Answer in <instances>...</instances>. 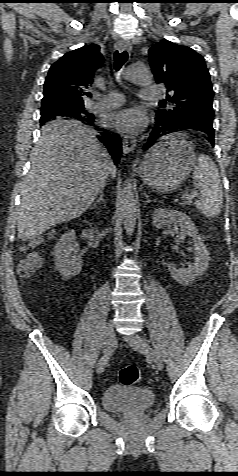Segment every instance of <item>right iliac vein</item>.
Wrapping results in <instances>:
<instances>
[{
	"mask_svg": "<svg viewBox=\"0 0 238 476\" xmlns=\"http://www.w3.org/2000/svg\"><path fill=\"white\" fill-rule=\"evenodd\" d=\"M114 340L116 341L113 322L109 321L104 332V355L101 357V359L99 360L96 366V372L98 374L102 373L106 368L109 353L112 350V348L115 346L114 345L113 347H110L109 343L113 342ZM114 344H116V342Z\"/></svg>",
	"mask_w": 238,
	"mask_h": 476,
	"instance_id": "1",
	"label": "right iliac vein"
}]
</instances>
